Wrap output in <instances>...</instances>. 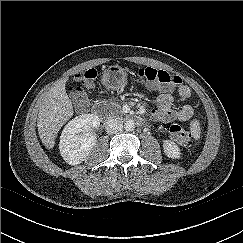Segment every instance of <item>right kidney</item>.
<instances>
[{
  "label": "right kidney",
  "instance_id": "ca27d5eb",
  "mask_svg": "<svg viewBox=\"0 0 243 243\" xmlns=\"http://www.w3.org/2000/svg\"><path fill=\"white\" fill-rule=\"evenodd\" d=\"M99 118L94 114H82L65 126L60 136L59 149L69 165H78L91 153L96 143L93 128L99 127Z\"/></svg>",
  "mask_w": 243,
  "mask_h": 243
}]
</instances>
